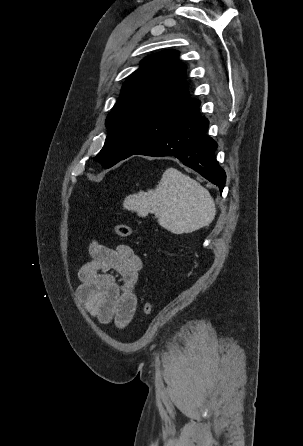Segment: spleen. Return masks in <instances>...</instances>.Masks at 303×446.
I'll list each match as a JSON object with an SVG mask.
<instances>
[{"label": "spleen", "instance_id": "3e777b00", "mask_svg": "<svg viewBox=\"0 0 303 446\" xmlns=\"http://www.w3.org/2000/svg\"><path fill=\"white\" fill-rule=\"evenodd\" d=\"M124 208L146 217L154 212L158 223L174 234L208 226L216 208L209 191L175 168H168L154 190L140 191L124 199Z\"/></svg>", "mask_w": 303, "mask_h": 446}]
</instances>
